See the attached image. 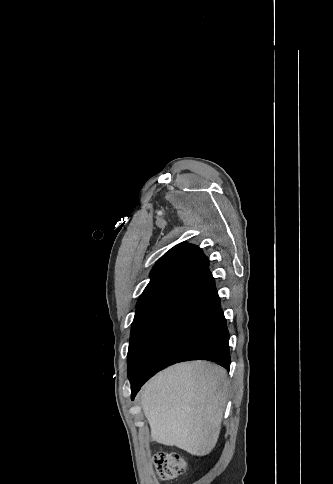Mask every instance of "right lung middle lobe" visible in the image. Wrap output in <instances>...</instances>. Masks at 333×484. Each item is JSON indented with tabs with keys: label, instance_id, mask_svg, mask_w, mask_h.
<instances>
[{
	"label": "right lung middle lobe",
	"instance_id": "obj_1",
	"mask_svg": "<svg viewBox=\"0 0 333 484\" xmlns=\"http://www.w3.org/2000/svg\"><path fill=\"white\" fill-rule=\"evenodd\" d=\"M161 300L148 302L136 307V314L131 328V337L128 350V377L132 376L135 365L139 359V350L146 332L151 315Z\"/></svg>",
	"mask_w": 333,
	"mask_h": 484
}]
</instances>
